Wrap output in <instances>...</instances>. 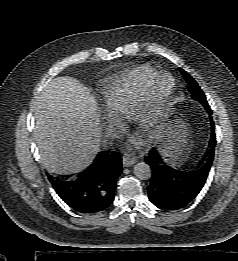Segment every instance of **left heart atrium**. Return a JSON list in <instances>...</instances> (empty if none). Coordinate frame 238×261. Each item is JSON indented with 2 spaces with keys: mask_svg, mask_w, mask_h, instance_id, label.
<instances>
[{
  "mask_svg": "<svg viewBox=\"0 0 238 261\" xmlns=\"http://www.w3.org/2000/svg\"><path fill=\"white\" fill-rule=\"evenodd\" d=\"M140 145H141V140H140V139H138V138H133V139L131 140V146H132V147L137 148V147H139Z\"/></svg>",
  "mask_w": 238,
  "mask_h": 261,
  "instance_id": "1",
  "label": "left heart atrium"
}]
</instances>
